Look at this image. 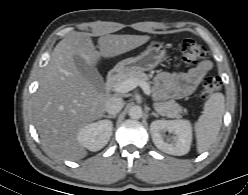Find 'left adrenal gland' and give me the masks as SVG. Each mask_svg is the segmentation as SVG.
Segmentation results:
<instances>
[{"instance_id":"a2214340","label":"left adrenal gland","mask_w":248,"mask_h":195,"mask_svg":"<svg viewBox=\"0 0 248 195\" xmlns=\"http://www.w3.org/2000/svg\"><path fill=\"white\" fill-rule=\"evenodd\" d=\"M151 115L155 116V117H158V114L155 113V112H152Z\"/></svg>"}]
</instances>
